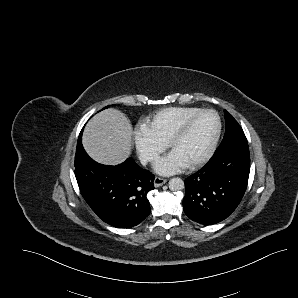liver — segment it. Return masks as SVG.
I'll list each match as a JSON object with an SVG mask.
<instances>
[{
	"instance_id": "liver-1",
	"label": "liver",
	"mask_w": 298,
	"mask_h": 298,
	"mask_svg": "<svg viewBox=\"0 0 298 298\" xmlns=\"http://www.w3.org/2000/svg\"><path fill=\"white\" fill-rule=\"evenodd\" d=\"M132 128L119 110L109 108L97 113L86 125L82 143L88 155L106 165L124 162L131 154Z\"/></svg>"
}]
</instances>
